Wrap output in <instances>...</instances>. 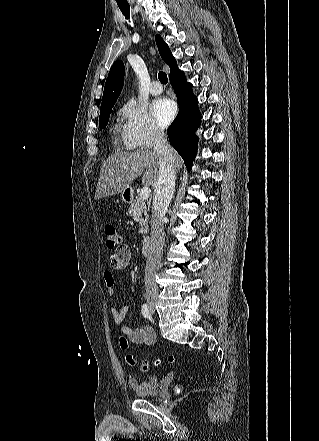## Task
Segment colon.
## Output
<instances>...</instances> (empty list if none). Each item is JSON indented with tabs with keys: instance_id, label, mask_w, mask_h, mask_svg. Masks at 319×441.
Wrapping results in <instances>:
<instances>
[{
	"instance_id": "1",
	"label": "colon",
	"mask_w": 319,
	"mask_h": 441,
	"mask_svg": "<svg viewBox=\"0 0 319 441\" xmlns=\"http://www.w3.org/2000/svg\"><path fill=\"white\" fill-rule=\"evenodd\" d=\"M105 232V240H106V246L109 249H113L117 246H119L122 242L121 235L117 231L116 227L114 225H107L104 229ZM119 346L122 350H126L128 348V340L121 336L119 338ZM177 356L175 355H169L167 357V361L169 363H174L177 361ZM126 362L131 367H138V369L142 372L149 371L153 366H158L161 364V360L157 359L154 362H151L149 360H144L141 363H138L137 360L134 358L133 355L128 354L126 356Z\"/></svg>"
}]
</instances>
